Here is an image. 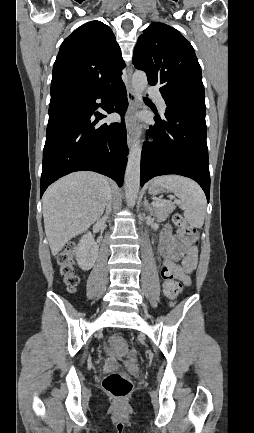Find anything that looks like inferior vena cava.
Masks as SVG:
<instances>
[{
    "mask_svg": "<svg viewBox=\"0 0 254 433\" xmlns=\"http://www.w3.org/2000/svg\"><path fill=\"white\" fill-rule=\"evenodd\" d=\"M107 201H108V202H107V204H106V215H105L104 219L107 218L108 214H109L110 211H111V194H109V197H108V200H107Z\"/></svg>",
    "mask_w": 254,
    "mask_h": 433,
    "instance_id": "obj_1",
    "label": "inferior vena cava"
}]
</instances>
